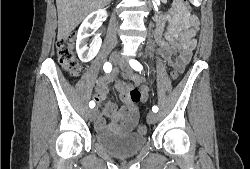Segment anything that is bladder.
Wrapping results in <instances>:
<instances>
[{
	"label": "bladder",
	"mask_w": 250,
	"mask_h": 169,
	"mask_svg": "<svg viewBox=\"0 0 250 169\" xmlns=\"http://www.w3.org/2000/svg\"><path fill=\"white\" fill-rule=\"evenodd\" d=\"M94 144L103 148L116 158H127L137 155L147 143L146 134L96 132Z\"/></svg>",
	"instance_id": "1"
}]
</instances>
